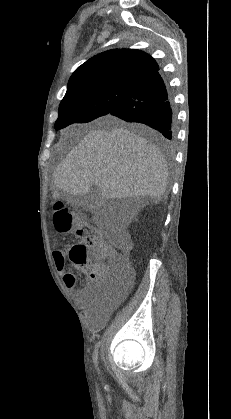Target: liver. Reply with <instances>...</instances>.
I'll return each mask as SVG.
<instances>
[{
	"instance_id": "1",
	"label": "liver",
	"mask_w": 231,
	"mask_h": 419,
	"mask_svg": "<svg viewBox=\"0 0 231 419\" xmlns=\"http://www.w3.org/2000/svg\"><path fill=\"white\" fill-rule=\"evenodd\" d=\"M110 130L89 131L53 174L56 190L84 196L98 187L100 198L150 196L161 200L168 184V170L160 150L130 132L112 117Z\"/></svg>"
}]
</instances>
